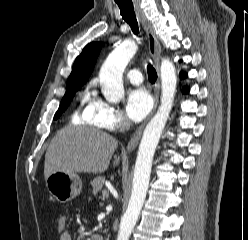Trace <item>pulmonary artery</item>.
I'll use <instances>...</instances> for the list:
<instances>
[{
	"mask_svg": "<svg viewBox=\"0 0 248 240\" xmlns=\"http://www.w3.org/2000/svg\"><path fill=\"white\" fill-rule=\"evenodd\" d=\"M126 78L128 81H130L132 84H140L142 83V74L139 70L133 69L126 73Z\"/></svg>",
	"mask_w": 248,
	"mask_h": 240,
	"instance_id": "1",
	"label": "pulmonary artery"
}]
</instances>
